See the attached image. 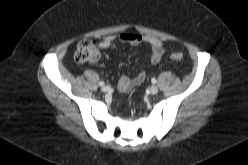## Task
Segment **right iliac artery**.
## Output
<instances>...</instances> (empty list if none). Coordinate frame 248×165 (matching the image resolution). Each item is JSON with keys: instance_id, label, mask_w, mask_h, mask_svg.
<instances>
[{"instance_id": "82829eb1", "label": "right iliac artery", "mask_w": 248, "mask_h": 165, "mask_svg": "<svg viewBox=\"0 0 248 165\" xmlns=\"http://www.w3.org/2000/svg\"><path fill=\"white\" fill-rule=\"evenodd\" d=\"M104 84H105L104 81H100V82H99V85H100V86H104Z\"/></svg>"}]
</instances>
